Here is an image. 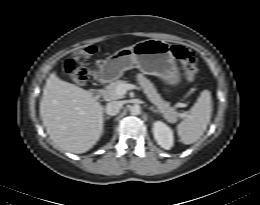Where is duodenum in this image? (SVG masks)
<instances>
[{
	"mask_svg": "<svg viewBox=\"0 0 260 205\" xmlns=\"http://www.w3.org/2000/svg\"><path fill=\"white\" fill-rule=\"evenodd\" d=\"M90 95L93 99L98 100L101 98V91L100 90H92Z\"/></svg>",
	"mask_w": 260,
	"mask_h": 205,
	"instance_id": "duodenum-1",
	"label": "duodenum"
}]
</instances>
